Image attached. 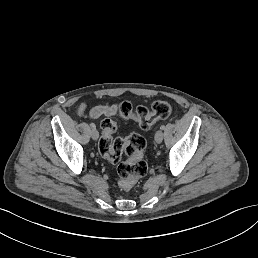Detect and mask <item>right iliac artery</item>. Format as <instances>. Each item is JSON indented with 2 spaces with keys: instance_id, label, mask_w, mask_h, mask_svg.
Segmentation results:
<instances>
[{
  "instance_id": "82829eb1",
  "label": "right iliac artery",
  "mask_w": 258,
  "mask_h": 258,
  "mask_svg": "<svg viewBox=\"0 0 258 258\" xmlns=\"http://www.w3.org/2000/svg\"><path fill=\"white\" fill-rule=\"evenodd\" d=\"M90 127H91V128H93V129H95V128H96V126H95V124H94V123H90Z\"/></svg>"
}]
</instances>
